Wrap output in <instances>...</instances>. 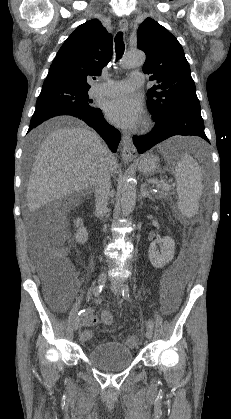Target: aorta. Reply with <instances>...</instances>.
<instances>
[{
    "instance_id": "762f6f07",
    "label": "aorta",
    "mask_w": 231,
    "mask_h": 419,
    "mask_svg": "<svg viewBox=\"0 0 231 419\" xmlns=\"http://www.w3.org/2000/svg\"><path fill=\"white\" fill-rule=\"evenodd\" d=\"M145 54L140 50L129 52L121 61V67L124 69L142 66L145 62ZM136 202V183L132 177H127L124 185L121 206L123 215L131 213Z\"/></svg>"
}]
</instances>
